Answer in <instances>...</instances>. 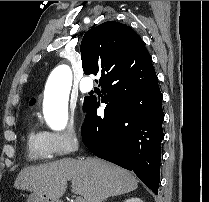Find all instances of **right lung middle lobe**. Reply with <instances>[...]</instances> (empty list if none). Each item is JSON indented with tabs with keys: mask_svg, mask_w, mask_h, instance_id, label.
<instances>
[{
	"mask_svg": "<svg viewBox=\"0 0 209 202\" xmlns=\"http://www.w3.org/2000/svg\"><path fill=\"white\" fill-rule=\"evenodd\" d=\"M86 99H87V97L84 98L83 110H84V108L86 106Z\"/></svg>",
	"mask_w": 209,
	"mask_h": 202,
	"instance_id": "obj_1",
	"label": "right lung middle lobe"
}]
</instances>
